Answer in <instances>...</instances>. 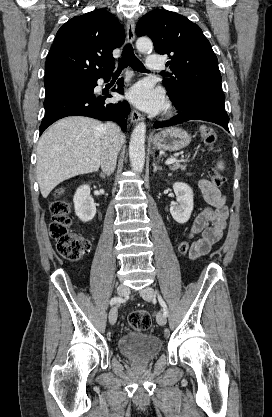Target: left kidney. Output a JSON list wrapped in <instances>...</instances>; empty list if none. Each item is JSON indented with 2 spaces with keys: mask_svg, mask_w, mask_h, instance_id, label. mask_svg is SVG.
<instances>
[{
  "mask_svg": "<svg viewBox=\"0 0 272 417\" xmlns=\"http://www.w3.org/2000/svg\"><path fill=\"white\" fill-rule=\"evenodd\" d=\"M173 190L177 202L170 207V213L176 222L184 224L193 211V191L190 186L182 182H175Z\"/></svg>",
  "mask_w": 272,
  "mask_h": 417,
  "instance_id": "5707ae66",
  "label": "left kidney"
}]
</instances>
